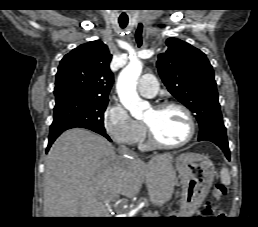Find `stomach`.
<instances>
[{
	"instance_id": "0dacf381",
	"label": "stomach",
	"mask_w": 258,
	"mask_h": 227,
	"mask_svg": "<svg viewBox=\"0 0 258 227\" xmlns=\"http://www.w3.org/2000/svg\"><path fill=\"white\" fill-rule=\"evenodd\" d=\"M175 167L179 173L182 188L181 211L178 215L192 214L212 186L215 175L214 165L204 155L186 153L176 158Z\"/></svg>"
}]
</instances>
